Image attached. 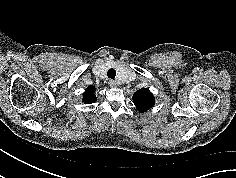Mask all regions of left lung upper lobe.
<instances>
[{
    "label": "left lung upper lobe",
    "instance_id": "1",
    "mask_svg": "<svg viewBox=\"0 0 236 178\" xmlns=\"http://www.w3.org/2000/svg\"><path fill=\"white\" fill-rule=\"evenodd\" d=\"M133 103L139 111L146 112L154 106L155 99L149 89H140L133 95Z\"/></svg>",
    "mask_w": 236,
    "mask_h": 178
}]
</instances>
